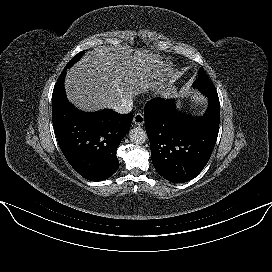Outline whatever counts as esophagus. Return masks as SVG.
Segmentation results:
<instances>
[{"instance_id": "34e87169", "label": "esophagus", "mask_w": 272, "mask_h": 272, "mask_svg": "<svg viewBox=\"0 0 272 272\" xmlns=\"http://www.w3.org/2000/svg\"><path fill=\"white\" fill-rule=\"evenodd\" d=\"M133 123L137 126H142L144 124V116L142 113H136L133 118Z\"/></svg>"}]
</instances>
